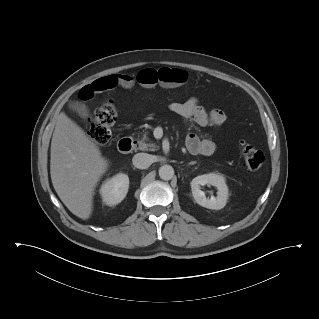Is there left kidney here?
I'll return each instance as SVG.
<instances>
[{
  "label": "left kidney",
  "instance_id": "left-kidney-1",
  "mask_svg": "<svg viewBox=\"0 0 319 319\" xmlns=\"http://www.w3.org/2000/svg\"><path fill=\"white\" fill-rule=\"evenodd\" d=\"M191 190L195 201L208 209L220 210L224 208L228 199V187L225 178L216 173H209L195 177L191 181ZM206 184L215 186L218 190L217 197L206 198L201 186Z\"/></svg>",
  "mask_w": 319,
  "mask_h": 319
}]
</instances>
